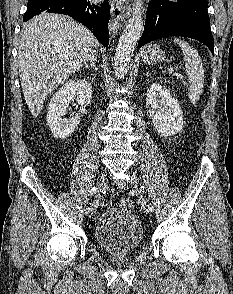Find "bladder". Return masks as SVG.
Segmentation results:
<instances>
[{
    "label": "bladder",
    "mask_w": 233,
    "mask_h": 294,
    "mask_svg": "<svg viewBox=\"0 0 233 294\" xmlns=\"http://www.w3.org/2000/svg\"><path fill=\"white\" fill-rule=\"evenodd\" d=\"M97 245L114 255H126L137 250L143 241V228L129 209L111 208L99 218L94 228Z\"/></svg>",
    "instance_id": "1"
}]
</instances>
